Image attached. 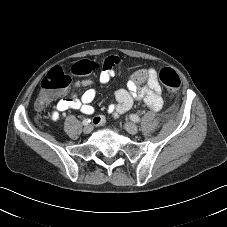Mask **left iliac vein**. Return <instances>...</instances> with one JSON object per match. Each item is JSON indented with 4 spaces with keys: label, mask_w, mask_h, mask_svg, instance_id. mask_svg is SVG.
I'll use <instances>...</instances> for the list:
<instances>
[{
    "label": "left iliac vein",
    "mask_w": 227,
    "mask_h": 227,
    "mask_svg": "<svg viewBox=\"0 0 227 227\" xmlns=\"http://www.w3.org/2000/svg\"><path fill=\"white\" fill-rule=\"evenodd\" d=\"M124 128L127 132H129L130 134H133V135H135L139 132L138 126L132 122L125 123Z\"/></svg>",
    "instance_id": "4c4485c4"
}]
</instances>
